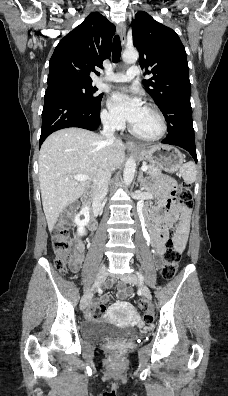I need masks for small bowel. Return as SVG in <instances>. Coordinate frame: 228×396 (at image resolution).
<instances>
[{
	"mask_svg": "<svg viewBox=\"0 0 228 396\" xmlns=\"http://www.w3.org/2000/svg\"><path fill=\"white\" fill-rule=\"evenodd\" d=\"M161 199V206L150 211V216H153L159 220L158 233L152 238V246L154 247V254L157 260L161 258L164 253L165 246L164 241L166 238L167 231L172 227L174 218L177 213V207L172 203L168 193V185L166 181L158 187ZM189 233V212L187 209L182 210L181 222L176 228V246L178 249L183 250L186 246L187 238ZM84 243L81 240L76 242L75 246V261L73 268L77 269L84 254ZM113 282H109L108 286L112 285ZM118 297L121 299L113 308L124 306L123 299L128 297L131 292L122 283H118ZM100 301L103 305L109 302L108 295L104 294L101 296ZM92 307V306H91ZM91 310V309H90ZM87 318H91V312L88 311L86 314Z\"/></svg>",
	"mask_w": 228,
	"mask_h": 396,
	"instance_id": "obj_1",
	"label": "small bowel"
}]
</instances>
